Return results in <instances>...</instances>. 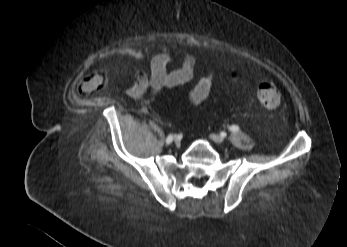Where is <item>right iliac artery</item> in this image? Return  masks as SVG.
<instances>
[{"label":"right iliac artery","mask_w":347,"mask_h":247,"mask_svg":"<svg viewBox=\"0 0 347 247\" xmlns=\"http://www.w3.org/2000/svg\"><path fill=\"white\" fill-rule=\"evenodd\" d=\"M172 140H173V135L170 134V135L166 138V143H167V144H170V143L172 142Z\"/></svg>","instance_id":"82829eb1"}]
</instances>
